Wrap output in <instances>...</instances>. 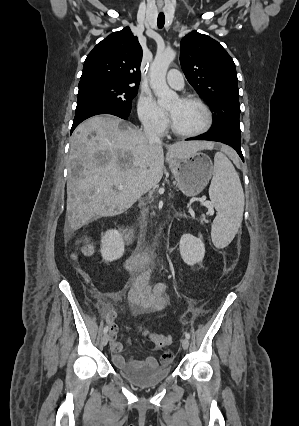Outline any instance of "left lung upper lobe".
<instances>
[{
    "label": "left lung upper lobe",
    "instance_id": "5c2ea615",
    "mask_svg": "<svg viewBox=\"0 0 299 426\" xmlns=\"http://www.w3.org/2000/svg\"><path fill=\"white\" fill-rule=\"evenodd\" d=\"M180 64L188 82L213 111L211 133L240 138V104L235 64L211 37L192 31L182 38Z\"/></svg>",
    "mask_w": 299,
    "mask_h": 426
}]
</instances>
